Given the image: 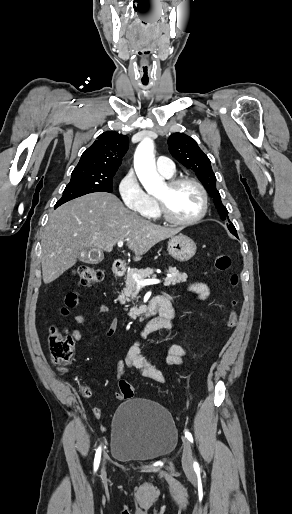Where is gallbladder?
I'll return each mask as SVG.
<instances>
[{"instance_id":"obj_1","label":"gallbladder","mask_w":292,"mask_h":514,"mask_svg":"<svg viewBox=\"0 0 292 514\" xmlns=\"http://www.w3.org/2000/svg\"><path fill=\"white\" fill-rule=\"evenodd\" d=\"M78 258L80 262H86V264H89V254L88 250H81V252H78Z\"/></svg>"}]
</instances>
